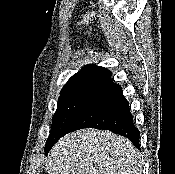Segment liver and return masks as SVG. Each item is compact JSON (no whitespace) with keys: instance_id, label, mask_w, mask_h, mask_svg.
<instances>
[{"instance_id":"liver-1","label":"liver","mask_w":175,"mask_h":174,"mask_svg":"<svg viewBox=\"0 0 175 174\" xmlns=\"http://www.w3.org/2000/svg\"><path fill=\"white\" fill-rule=\"evenodd\" d=\"M141 153L125 137L86 128L62 137L51 149L49 174H141Z\"/></svg>"}]
</instances>
